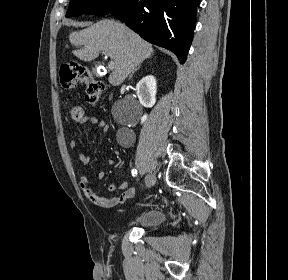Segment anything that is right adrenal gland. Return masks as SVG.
<instances>
[{"label":"right adrenal gland","mask_w":288,"mask_h":280,"mask_svg":"<svg viewBox=\"0 0 288 280\" xmlns=\"http://www.w3.org/2000/svg\"><path fill=\"white\" fill-rule=\"evenodd\" d=\"M140 66H141V64H139V65H137V66L135 67V69L132 71V73H131V75H130L129 78H131V77L133 76V74H134L137 70L140 69Z\"/></svg>","instance_id":"1"}]
</instances>
